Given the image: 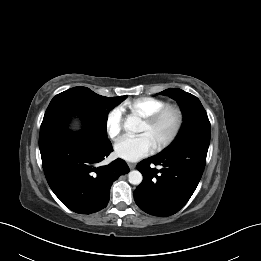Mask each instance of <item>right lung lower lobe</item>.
Listing matches in <instances>:
<instances>
[{"label":"right lung lower lobe","mask_w":261,"mask_h":261,"mask_svg":"<svg viewBox=\"0 0 261 261\" xmlns=\"http://www.w3.org/2000/svg\"><path fill=\"white\" fill-rule=\"evenodd\" d=\"M39 148L50 188L76 213L90 214L105 208L112 183L129 172L120 158L100 166L113 151L111 142L86 129L73 133L59 125L40 130Z\"/></svg>","instance_id":"obj_1"}]
</instances>
